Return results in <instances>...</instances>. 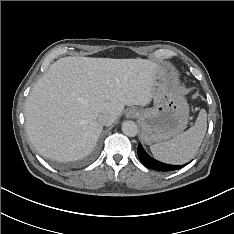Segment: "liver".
<instances>
[{"mask_svg": "<svg viewBox=\"0 0 234 234\" xmlns=\"http://www.w3.org/2000/svg\"><path fill=\"white\" fill-rule=\"evenodd\" d=\"M157 72L158 64L140 58L74 56L57 60L26 100L25 126L30 142L47 158H83L103 130L98 117L108 113L114 122L125 105L149 104Z\"/></svg>", "mask_w": 234, "mask_h": 234, "instance_id": "6515ba94", "label": "liver"}]
</instances>
